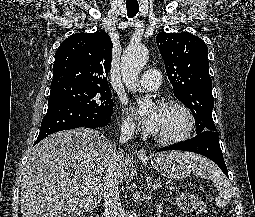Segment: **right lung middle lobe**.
<instances>
[{
	"instance_id": "obj_1",
	"label": "right lung middle lobe",
	"mask_w": 255,
	"mask_h": 217,
	"mask_svg": "<svg viewBox=\"0 0 255 217\" xmlns=\"http://www.w3.org/2000/svg\"><path fill=\"white\" fill-rule=\"evenodd\" d=\"M55 102L71 103L99 114H112L113 112V100L109 87L82 84L52 86L48 104Z\"/></svg>"
}]
</instances>
